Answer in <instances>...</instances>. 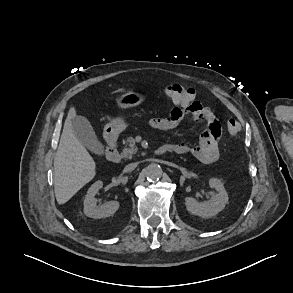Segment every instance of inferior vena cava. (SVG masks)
Wrapping results in <instances>:
<instances>
[{"label": "inferior vena cava", "instance_id": "inferior-vena-cava-1", "mask_svg": "<svg viewBox=\"0 0 293 293\" xmlns=\"http://www.w3.org/2000/svg\"><path fill=\"white\" fill-rule=\"evenodd\" d=\"M137 167V163H130L125 166L124 171L125 172H132Z\"/></svg>", "mask_w": 293, "mask_h": 293}]
</instances>
